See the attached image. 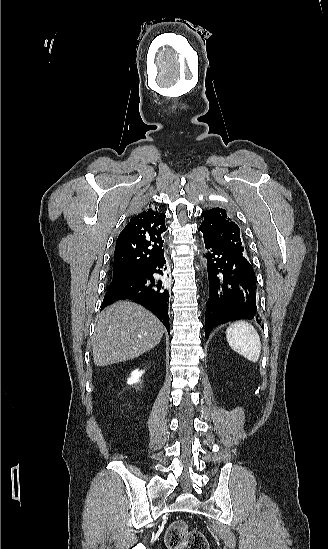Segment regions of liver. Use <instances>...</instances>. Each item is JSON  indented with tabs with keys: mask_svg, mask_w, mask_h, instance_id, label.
Wrapping results in <instances>:
<instances>
[{
	"mask_svg": "<svg viewBox=\"0 0 328 549\" xmlns=\"http://www.w3.org/2000/svg\"><path fill=\"white\" fill-rule=\"evenodd\" d=\"M164 327L147 309L130 301H117L97 315L93 343L96 367L129 361L160 343Z\"/></svg>",
	"mask_w": 328,
	"mask_h": 549,
	"instance_id": "obj_1",
	"label": "liver"
}]
</instances>
